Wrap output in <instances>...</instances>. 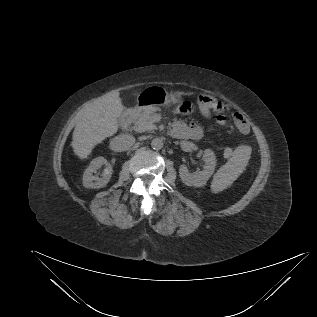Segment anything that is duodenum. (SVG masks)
I'll use <instances>...</instances> for the list:
<instances>
[{
	"label": "duodenum",
	"mask_w": 317,
	"mask_h": 317,
	"mask_svg": "<svg viewBox=\"0 0 317 317\" xmlns=\"http://www.w3.org/2000/svg\"><path fill=\"white\" fill-rule=\"evenodd\" d=\"M132 115H133L132 109H128L123 113V115L120 119V125L122 128L126 129L130 126L131 120H132Z\"/></svg>",
	"instance_id": "obj_1"
}]
</instances>
